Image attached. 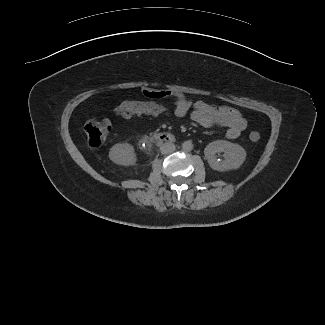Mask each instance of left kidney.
I'll return each instance as SVG.
<instances>
[{
    "instance_id": "1",
    "label": "left kidney",
    "mask_w": 325,
    "mask_h": 325,
    "mask_svg": "<svg viewBox=\"0 0 325 325\" xmlns=\"http://www.w3.org/2000/svg\"><path fill=\"white\" fill-rule=\"evenodd\" d=\"M217 153H223L224 159H218ZM204 154L210 167L216 171L238 169L246 159V151L242 146L226 140L209 143Z\"/></svg>"
}]
</instances>
